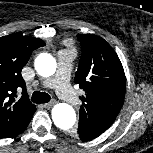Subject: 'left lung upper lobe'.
Returning a JSON list of instances; mask_svg holds the SVG:
<instances>
[{
	"mask_svg": "<svg viewBox=\"0 0 153 153\" xmlns=\"http://www.w3.org/2000/svg\"><path fill=\"white\" fill-rule=\"evenodd\" d=\"M82 55L75 83L85 91L80 97L77 134L92 140L107 130L121 110L126 78L123 66L113 48L93 34L77 35Z\"/></svg>",
	"mask_w": 153,
	"mask_h": 153,
	"instance_id": "1",
	"label": "left lung upper lobe"
}]
</instances>
